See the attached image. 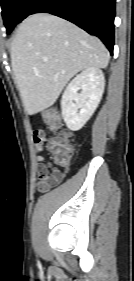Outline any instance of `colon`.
Listing matches in <instances>:
<instances>
[{
	"mask_svg": "<svg viewBox=\"0 0 134 281\" xmlns=\"http://www.w3.org/2000/svg\"><path fill=\"white\" fill-rule=\"evenodd\" d=\"M44 116L48 126L52 130L59 132V134L50 139L48 143V149L53 160H55L60 166L66 168L69 165L72 146L69 142L68 135L61 132L60 116L55 110L52 109L47 110Z\"/></svg>",
	"mask_w": 134,
	"mask_h": 281,
	"instance_id": "1",
	"label": "colon"
}]
</instances>
